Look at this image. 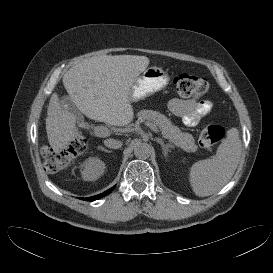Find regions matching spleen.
I'll list each match as a JSON object with an SVG mask.
<instances>
[{
    "label": "spleen",
    "mask_w": 273,
    "mask_h": 273,
    "mask_svg": "<svg viewBox=\"0 0 273 273\" xmlns=\"http://www.w3.org/2000/svg\"><path fill=\"white\" fill-rule=\"evenodd\" d=\"M239 132L231 128L219 145L216 155L192 165L189 181L197 196L205 197L219 191L233 176L241 157Z\"/></svg>",
    "instance_id": "obj_1"
}]
</instances>
